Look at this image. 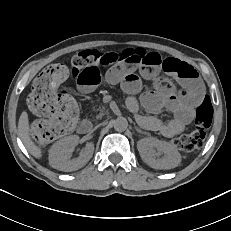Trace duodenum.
I'll use <instances>...</instances> for the list:
<instances>
[{"label":"duodenum","instance_id":"duodenum-1","mask_svg":"<svg viewBox=\"0 0 231 231\" xmlns=\"http://www.w3.org/2000/svg\"><path fill=\"white\" fill-rule=\"evenodd\" d=\"M91 129H92V124L89 120H83L77 128L78 133L80 134H87L91 131Z\"/></svg>","mask_w":231,"mask_h":231}]
</instances>
